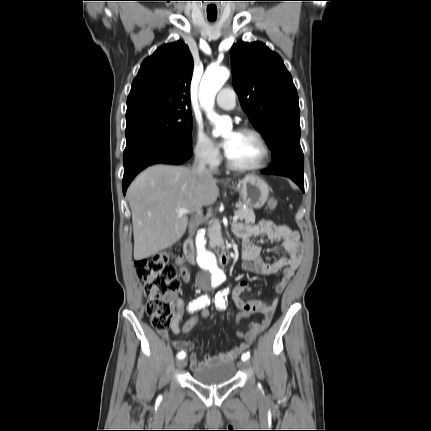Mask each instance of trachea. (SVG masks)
Masks as SVG:
<instances>
[{
	"label": "trachea",
	"mask_w": 431,
	"mask_h": 431,
	"mask_svg": "<svg viewBox=\"0 0 431 431\" xmlns=\"http://www.w3.org/2000/svg\"><path fill=\"white\" fill-rule=\"evenodd\" d=\"M208 20H209V21H211V22H212V21H215V20H216V17H208Z\"/></svg>",
	"instance_id": "3493384b"
}]
</instances>
